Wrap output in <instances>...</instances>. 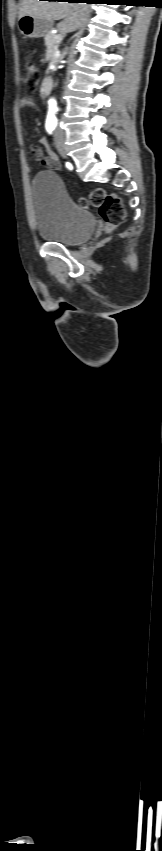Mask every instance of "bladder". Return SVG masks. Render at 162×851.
Listing matches in <instances>:
<instances>
[{"label":"bladder","instance_id":"1","mask_svg":"<svg viewBox=\"0 0 162 851\" xmlns=\"http://www.w3.org/2000/svg\"><path fill=\"white\" fill-rule=\"evenodd\" d=\"M31 193L37 232L42 239L73 246L91 237L96 226L94 214L68 196L58 174L38 173L31 183Z\"/></svg>","mask_w":162,"mask_h":851}]
</instances>
